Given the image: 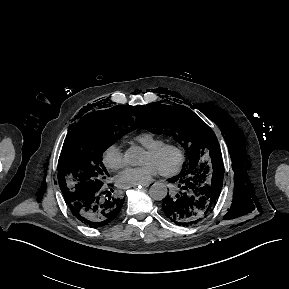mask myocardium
Listing matches in <instances>:
<instances>
[{"label": "myocardium", "instance_id": "myocardium-1", "mask_svg": "<svg viewBox=\"0 0 289 289\" xmlns=\"http://www.w3.org/2000/svg\"><path fill=\"white\" fill-rule=\"evenodd\" d=\"M168 150L176 152L177 161L172 168L160 170V173L164 176H173L182 170L186 161V152L180 144L176 142H163L155 147L148 148L146 152L154 156H159Z\"/></svg>", "mask_w": 289, "mask_h": 289}]
</instances>
